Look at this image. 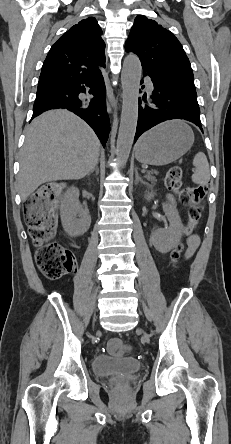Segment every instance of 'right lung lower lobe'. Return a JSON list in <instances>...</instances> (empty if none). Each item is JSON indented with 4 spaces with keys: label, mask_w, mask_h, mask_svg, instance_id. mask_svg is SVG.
I'll use <instances>...</instances> for the list:
<instances>
[{
    "label": "right lung lower lobe",
    "mask_w": 231,
    "mask_h": 444,
    "mask_svg": "<svg viewBox=\"0 0 231 444\" xmlns=\"http://www.w3.org/2000/svg\"><path fill=\"white\" fill-rule=\"evenodd\" d=\"M85 86L90 87L89 93L94 96L89 101L79 98V93L86 92ZM105 94L102 74L38 89L32 119L50 109L66 108L84 119L93 128L102 145L105 146L110 131Z\"/></svg>",
    "instance_id": "right-lung-lower-lobe-1"
}]
</instances>
